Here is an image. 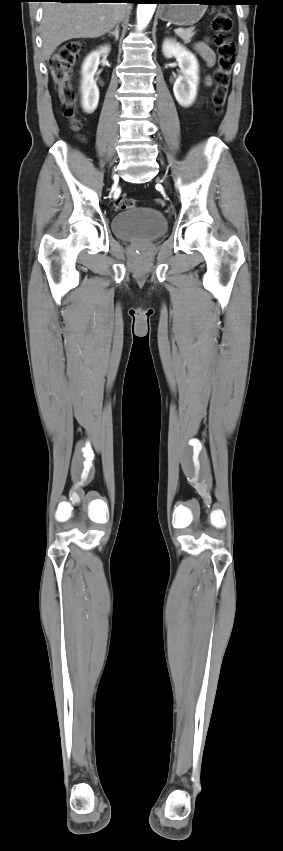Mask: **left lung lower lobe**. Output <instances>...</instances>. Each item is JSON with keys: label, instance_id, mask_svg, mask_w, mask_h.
Here are the masks:
<instances>
[{"label": "left lung lower lobe", "instance_id": "obj_1", "mask_svg": "<svg viewBox=\"0 0 283 851\" xmlns=\"http://www.w3.org/2000/svg\"><path fill=\"white\" fill-rule=\"evenodd\" d=\"M148 1H150L152 3L159 4V3H166L169 0H148ZM217 1L223 2L224 4H228V5H234L236 2H239V0H217Z\"/></svg>", "mask_w": 283, "mask_h": 851}]
</instances>
